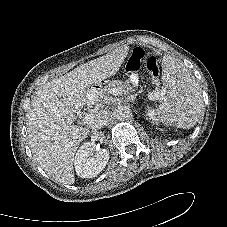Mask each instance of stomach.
Returning <instances> with one entry per match:
<instances>
[{"mask_svg":"<svg viewBox=\"0 0 227 227\" xmlns=\"http://www.w3.org/2000/svg\"><path fill=\"white\" fill-rule=\"evenodd\" d=\"M87 90L89 92H94L98 94H108L116 92L117 87L116 85L112 84V80L110 78H105L99 81L89 83L87 85Z\"/></svg>","mask_w":227,"mask_h":227,"instance_id":"stomach-1","label":"stomach"}]
</instances>
